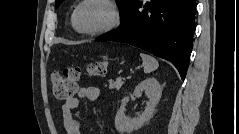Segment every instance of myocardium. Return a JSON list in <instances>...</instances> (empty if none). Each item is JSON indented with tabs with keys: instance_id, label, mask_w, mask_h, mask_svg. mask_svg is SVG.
<instances>
[{
	"instance_id": "f54148a6",
	"label": "myocardium",
	"mask_w": 239,
	"mask_h": 134,
	"mask_svg": "<svg viewBox=\"0 0 239 134\" xmlns=\"http://www.w3.org/2000/svg\"><path fill=\"white\" fill-rule=\"evenodd\" d=\"M93 2L100 3L108 8V10L110 12V20L104 27H102L98 30H94V31L81 30L77 26V23H76V18H77L78 12L84 5H86L88 3H93ZM119 21H120L119 11H118L117 7L115 6V4L110 0H84V1H81L75 7V9L72 13V17H71V23H72V26L75 29V31L84 36H99V35L105 34L109 31H111L112 29H114L119 24Z\"/></svg>"
}]
</instances>
